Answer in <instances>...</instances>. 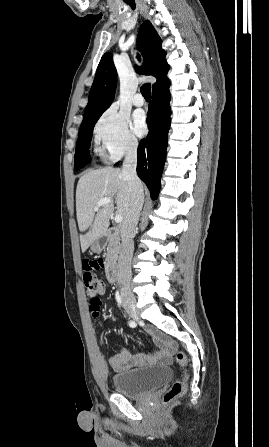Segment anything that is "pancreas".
<instances>
[{
  "label": "pancreas",
  "mask_w": 269,
  "mask_h": 447,
  "mask_svg": "<svg viewBox=\"0 0 269 447\" xmlns=\"http://www.w3.org/2000/svg\"><path fill=\"white\" fill-rule=\"evenodd\" d=\"M120 241L117 235H110L108 237V247L105 253L106 261L111 265V263H116V259L118 257V253H120Z\"/></svg>",
  "instance_id": "pancreas-1"
}]
</instances>
